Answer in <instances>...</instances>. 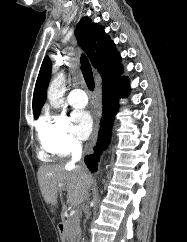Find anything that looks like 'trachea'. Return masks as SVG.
Returning a JSON list of instances; mask_svg holds the SVG:
<instances>
[{"instance_id": "1", "label": "trachea", "mask_w": 187, "mask_h": 242, "mask_svg": "<svg viewBox=\"0 0 187 242\" xmlns=\"http://www.w3.org/2000/svg\"><path fill=\"white\" fill-rule=\"evenodd\" d=\"M81 68H82L83 77L85 79L88 89L90 91H93L95 87L94 77H93L91 65L84 54H82L81 56Z\"/></svg>"}]
</instances>
